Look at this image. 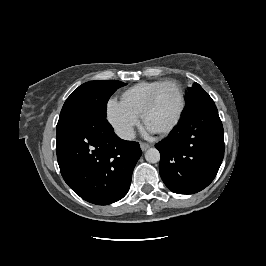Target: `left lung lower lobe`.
Segmentation results:
<instances>
[{
  "mask_svg": "<svg viewBox=\"0 0 266 266\" xmlns=\"http://www.w3.org/2000/svg\"><path fill=\"white\" fill-rule=\"evenodd\" d=\"M160 176L174 193L193 194L215 178L224 157V131L209 95L187 106L177 127L155 145Z\"/></svg>",
  "mask_w": 266,
  "mask_h": 266,
  "instance_id": "1",
  "label": "left lung lower lobe"
}]
</instances>
